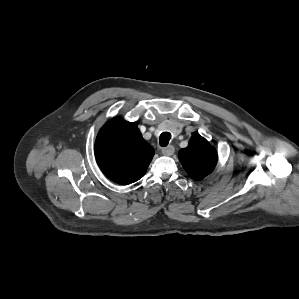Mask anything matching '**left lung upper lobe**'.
Wrapping results in <instances>:
<instances>
[{
	"label": "left lung upper lobe",
	"mask_w": 299,
	"mask_h": 299,
	"mask_svg": "<svg viewBox=\"0 0 299 299\" xmlns=\"http://www.w3.org/2000/svg\"><path fill=\"white\" fill-rule=\"evenodd\" d=\"M179 160L186 172L194 180H201L209 175L217 163V152L200 135L194 136L187 148L179 151Z\"/></svg>",
	"instance_id": "1"
}]
</instances>
